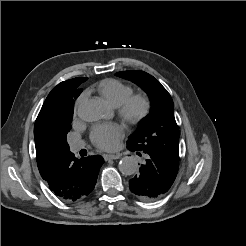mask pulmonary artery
I'll list each match as a JSON object with an SVG mask.
<instances>
[{
    "label": "pulmonary artery",
    "instance_id": "1",
    "mask_svg": "<svg viewBox=\"0 0 246 246\" xmlns=\"http://www.w3.org/2000/svg\"><path fill=\"white\" fill-rule=\"evenodd\" d=\"M70 146L73 152H78L84 147V143L82 141L76 140L72 141Z\"/></svg>",
    "mask_w": 246,
    "mask_h": 246
}]
</instances>
